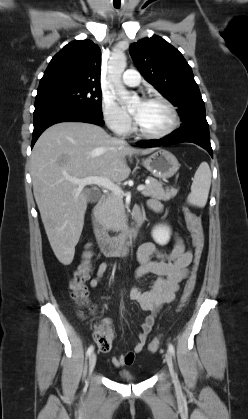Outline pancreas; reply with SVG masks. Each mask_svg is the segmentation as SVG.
<instances>
[{
    "instance_id": "cf45deb5",
    "label": "pancreas",
    "mask_w": 248,
    "mask_h": 419,
    "mask_svg": "<svg viewBox=\"0 0 248 419\" xmlns=\"http://www.w3.org/2000/svg\"><path fill=\"white\" fill-rule=\"evenodd\" d=\"M150 181L145 185L142 194L144 196L157 198L159 200L167 201L175 197L178 193V188H163L162 182L153 177H147ZM103 224L107 229L113 231H120L126 225L125 208L122 196L112 194L108 196L104 204Z\"/></svg>"
}]
</instances>
